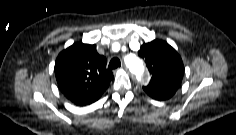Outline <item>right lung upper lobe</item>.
<instances>
[{
    "instance_id": "obj_1",
    "label": "right lung upper lobe",
    "mask_w": 236,
    "mask_h": 135,
    "mask_svg": "<svg viewBox=\"0 0 236 135\" xmlns=\"http://www.w3.org/2000/svg\"><path fill=\"white\" fill-rule=\"evenodd\" d=\"M107 60L96 45L74 43L63 50L55 62V76L61 92L79 106L97 101L113 79Z\"/></svg>"
}]
</instances>
